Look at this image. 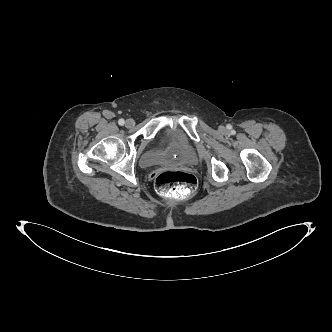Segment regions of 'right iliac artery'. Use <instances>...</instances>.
I'll return each mask as SVG.
<instances>
[{
    "instance_id": "1",
    "label": "right iliac artery",
    "mask_w": 332,
    "mask_h": 332,
    "mask_svg": "<svg viewBox=\"0 0 332 332\" xmlns=\"http://www.w3.org/2000/svg\"><path fill=\"white\" fill-rule=\"evenodd\" d=\"M118 123H119V125H124V123H125V121H124V119H120L119 121H118Z\"/></svg>"
}]
</instances>
